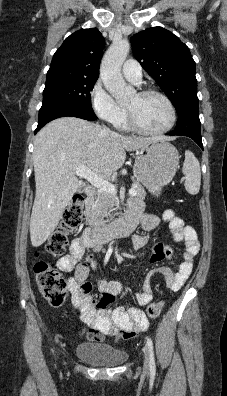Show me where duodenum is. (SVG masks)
Instances as JSON below:
<instances>
[{"label":"duodenum","mask_w":227,"mask_h":396,"mask_svg":"<svg viewBox=\"0 0 227 396\" xmlns=\"http://www.w3.org/2000/svg\"><path fill=\"white\" fill-rule=\"evenodd\" d=\"M96 196V189L92 186L86 190V203L90 204ZM136 227L133 217L127 216L125 219L107 224L98 228H91L86 233V238L92 247L98 248L102 244L112 239L130 234Z\"/></svg>","instance_id":"obj_1"}]
</instances>
